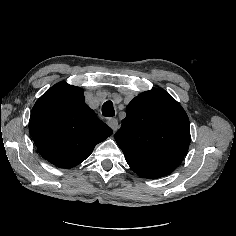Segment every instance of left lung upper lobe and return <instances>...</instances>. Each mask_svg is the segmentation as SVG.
<instances>
[{"instance_id":"1","label":"left lung upper lobe","mask_w":236,"mask_h":236,"mask_svg":"<svg viewBox=\"0 0 236 236\" xmlns=\"http://www.w3.org/2000/svg\"><path fill=\"white\" fill-rule=\"evenodd\" d=\"M115 140L135 173L160 178L173 172L187 153L189 119L169 93L155 88L129 103Z\"/></svg>"}]
</instances>
